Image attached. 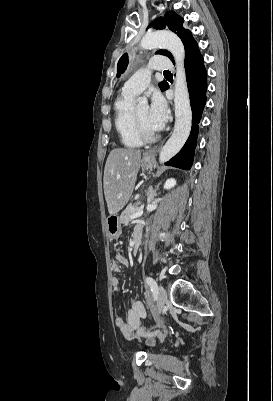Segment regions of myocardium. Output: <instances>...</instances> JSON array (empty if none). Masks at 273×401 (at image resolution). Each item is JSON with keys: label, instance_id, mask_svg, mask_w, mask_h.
<instances>
[{"label": "myocardium", "instance_id": "myocardium-1", "mask_svg": "<svg viewBox=\"0 0 273 401\" xmlns=\"http://www.w3.org/2000/svg\"><path fill=\"white\" fill-rule=\"evenodd\" d=\"M132 118H133V123H134L135 129L143 141L150 142V141H153L158 136L156 131H149L141 124L135 111L132 112Z\"/></svg>", "mask_w": 273, "mask_h": 401}]
</instances>
